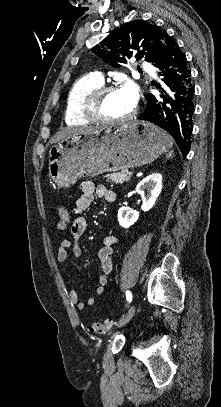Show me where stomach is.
<instances>
[{
  "label": "stomach",
  "mask_w": 221,
  "mask_h": 407,
  "mask_svg": "<svg viewBox=\"0 0 221 407\" xmlns=\"http://www.w3.org/2000/svg\"><path fill=\"white\" fill-rule=\"evenodd\" d=\"M171 145L167 133L144 121L70 135L50 149L49 176L59 188H69L84 176L149 164Z\"/></svg>",
  "instance_id": "1"
}]
</instances>
